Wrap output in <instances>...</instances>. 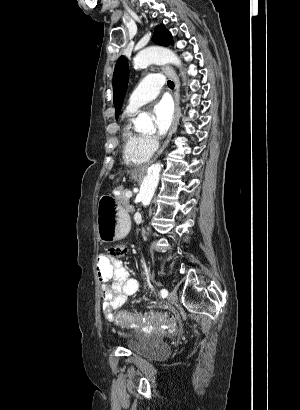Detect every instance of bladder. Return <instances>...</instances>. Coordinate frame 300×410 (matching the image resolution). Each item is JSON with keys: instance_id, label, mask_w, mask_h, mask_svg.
Here are the masks:
<instances>
[{"instance_id": "31cf9c89", "label": "bladder", "mask_w": 300, "mask_h": 410, "mask_svg": "<svg viewBox=\"0 0 300 410\" xmlns=\"http://www.w3.org/2000/svg\"><path fill=\"white\" fill-rule=\"evenodd\" d=\"M131 351L143 357H158L163 356L169 352V346L164 342H150V343H132L130 345Z\"/></svg>"}]
</instances>
